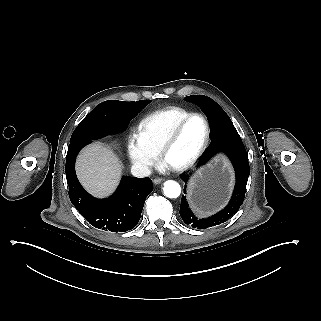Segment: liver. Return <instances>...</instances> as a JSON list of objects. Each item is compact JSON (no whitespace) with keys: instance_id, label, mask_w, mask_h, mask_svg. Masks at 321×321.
<instances>
[{"instance_id":"1","label":"liver","mask_w":321,"mask_h":321,"mask_svg":"<svg viewBox=\"0 0 321 321\" xmlns=\"http://www.w3.org/2000/svg\"><path fill=\"white\" fill-rule=\"evenodd\" d=\"M122 163L114 152L102 143L85 147L76 161V173L83 187L96 197L114 191L120 180Z\"/></svg>"}]
</instances>
